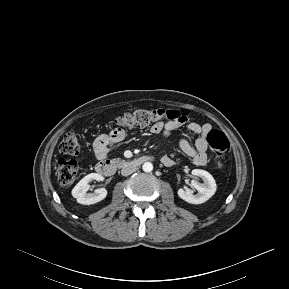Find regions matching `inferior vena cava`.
Listing matches in <instances>:
<instances>
[{
  "mask_svg": "<svg viewBox=\"0 0 289 289\" xmlns=\"http://www.w3.org/2000/svg\"><path fill=\"white\" fill-rule=\"evenodd\" d=\"M136 170H137V168L134 166H127L121 170V174L123 176H128V175L132 174L133 172H135Z\"/></svg>",
  "mask_w": 289,
  "mask_h": 289,
  "instance_id": "obj_1",
  "label": "inferior vena cava"
}]
</instances>
